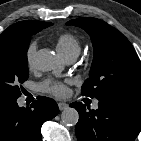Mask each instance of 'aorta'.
Listing matches in <instances>:
<instances>
[{"instance_id": "762f6f07", "label": "aorta", "mask_w": 141, "mask_h": 141, "mask_svg": "<svg viewBox=\"0 0 141 141\" xmlns=\"http://www.w3.org/2000/svg\"><path fill=\"white\" fill-rule=\"evenodd\" d=\"M33 63L40 71H51L56 67V58L51 51L43 49L35 54ZM78 119L79 114L75 108L68 107L61 113V120L66 126H75Z\"/></svg>"}]
</instances>
